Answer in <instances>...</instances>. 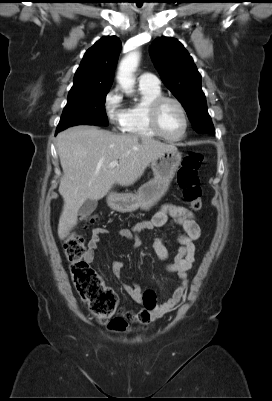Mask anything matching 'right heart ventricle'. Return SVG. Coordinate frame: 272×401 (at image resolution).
Masks as SVG:
<instances>
[{"label": "right heart ventricle", "mask_w": 272, "mask_h": 401, "mask_svg": "<svg viewBox=\"0 0 272 401\" xmlns=\"http://www.w3.org/2000/svg\"><path fill=\"white\" fill-rule=\"evenodd\" d=\"M139 91L141 99L126 109L121 130L135 137L156 138L158 135L152 130L149 123V107L155 99L163 96L161 88L140 86Z\"/></svg>", "instance_id": "right-heart-ventricle-1"}]
</instances>
